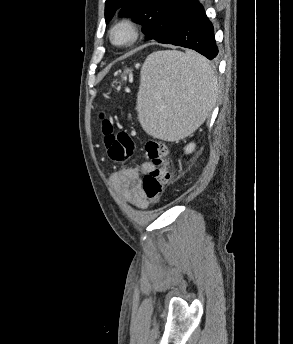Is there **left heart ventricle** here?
I'll return each instance as SVG.
<instances>
[{"label": "left heart ventricle", "instance_id": "obj_1", "mask_svg": "<svg viewBox=\"0 0 293 344\" xmlns=\"http://www.w3.org/2000/svg\"><path fill=\"white\" fill-rule=\"evenodd\" d=\"M126 38V34L124 33V32H119L118 34H117V39L119 40V41H122V40H124Z\"/></svg>", "mask_w": 293, "mask_h": 344}]
</instances>
